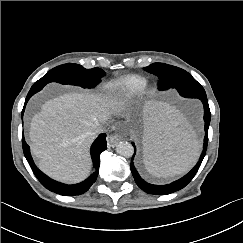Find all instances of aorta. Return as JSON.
I'll return each mask as SVG.
<instances>
[{"label": "aorta", "mask_w": 243, "mask_h": 243, "mask_svg": "<svg viewBox=\"0 0 243 243\" xmlns=\"http://www.w3.org/2000/svg\"><path fill=\"white\" fill-rule=\"evenodd\" d=\"M116 152L126 158H129L133 155L134 149L129 142L122 141L116 146Z\"/></svg>", "instance_id": "aorta-1"}]
</instances>
